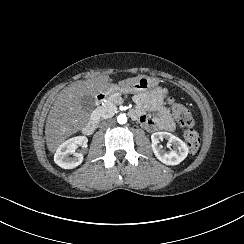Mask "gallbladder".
<instances>
[{"label":"gallbladder","instance_id":"1","mask_svg":"<svg viewBox=\"0 0 244 244\" xmlns=\"http://www.w3.org/2000/svg\"><path fill=\"white\" fill-rule=\"evenodd\" d=\"M80 105L82 110L86 113H90L95 108V97L90 94H85L80 97Z\"/></svg>","mask_w":244,"mask_h":244}]
</instances>
